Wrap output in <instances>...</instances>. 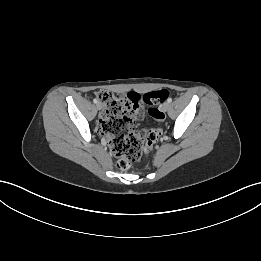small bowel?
Instances as JSON below:
<instances>
[{"mask_svg":"<svg viewBox=\"0 0 261 261\" xmlns=\"http://www.w3.org/2000/svg\"><path fill=\"white\" fill-rule=\"evenodd\" d=\"M102 116H103V114H102ZM133 117L134 118H142L143 117V112L141 110L140 104L134 109ZM139 134L142 137L147 136V134H148L147 128L140 129Z\"/></svg>","mask_w":261,"mask_h":261,"instance_id":"small-bowel-1","label":"small bowel"}]
</instances>
